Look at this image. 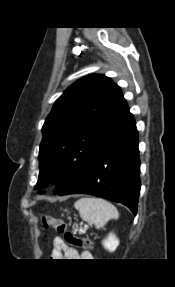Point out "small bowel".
Returning <instances> with one entry per match:
<instances>
[{
	"mask_svg": "<svg viewBox=\"0 0 175 287\" xmlns=\"http://www.w3.org/2000/svg\"><path fill=\"white\" fill-rule=\"evenodd\" d=\"M52 257L54 258L65 257L68 259L82 257L85 259H89L91 257V254L87 251L78 253L75 249L67 246L60 237H56L53 240Z\"/></svg>",
	"mask_w": 175,
	"mask_h": 287,
	"instance_id": "c3829d8e",
	"label": "small bowel"
}]
</instances>
